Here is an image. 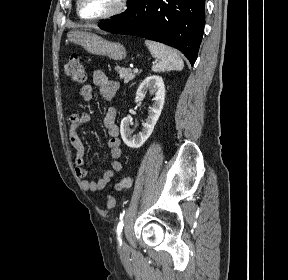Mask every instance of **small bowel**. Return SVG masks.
I'll return each mask as SVG.
<instances>
[{"label": "small bowel", "mask_w": 288, "mask_h": 280, "mask_svg": "<svg viewBox=\"0 0 288 280\" xmlns=\"http://www.w3.org/2000/svg\"><path fill=\"white\" fill-rule=\"evenodd\" d=\"M94 85L98 88L102 96L107 102L113 101L119 84L116 81L109 79L106 74L100 70L94 71L92 75ZM81 95L84 100H89L92 96V87L86 85L81 89ZM69 141L75 151V173L80 181V186L85 191L98 192L103 190L122 169V164L119 161L121 157V140L119 137V127L116 123V109L110 106L103 118V126L108 134V148L110 150L111 164L103 176L96 180L87 178V170L85 168L86 149L79 134V128L88 123L91 116L88 112L74 111L70 114Z\"/></svg>", "instance_id": "c3829d8e"}]
</instances>
